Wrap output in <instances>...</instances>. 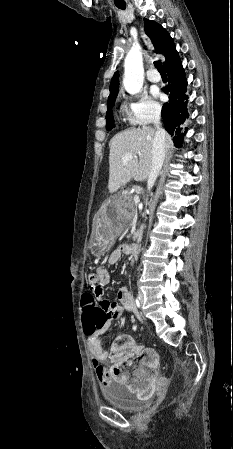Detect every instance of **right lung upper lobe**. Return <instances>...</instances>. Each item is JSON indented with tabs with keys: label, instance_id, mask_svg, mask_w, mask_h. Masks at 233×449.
Segmentation results:
<instances>
[{
	"label": "right lung upper lobe",
	"instance_id": "1",
	"mask_svg": "<svg viewBox=\"0 0 233 449\" xmlns=\"http://www.w3.org/2000/svg\"><path fill=\"white\" fill-rule=\"evenodd\" d=\"M145 22V32L151 38L153 45L155 47L156 53L163 54L165 56V62L163 63L165 68L170 67L177 63L180 58L176 51L173 39L167 33V31L158 23L144 19ZM119 89V75L115 72L110 83V95H115L118 93Z\"/></svg>",
	"mask_w": 233,
	"mask_h": 449
}]
</instances>
